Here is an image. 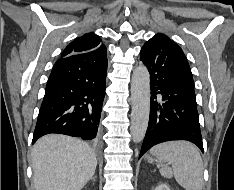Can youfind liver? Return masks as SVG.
Instances as JSON below:
<instances>
[{
    "mask_svg": "<svg viewBox=\"0 0 234 190\" xmlns=\"http://www.w3.org/2000/svg\"><path fill=\"white\" fill-rule=\"evenodd\" d=\"M97 166L88 144L65 135L40 138L32 150L35 190H81Z\"/></svg>",
    "mask_w": 234,
    "mask_h": 190,
    "instance_id": "obj_1",
    "label": "liver"
}]
</instances>
